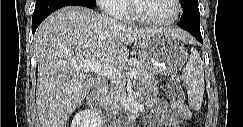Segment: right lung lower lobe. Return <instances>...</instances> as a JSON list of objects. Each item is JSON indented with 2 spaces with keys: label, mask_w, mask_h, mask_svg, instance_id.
I'll return each mask as SVG.
<instances>
[{
  "label": "right lung lower lobe",
  "mask_w": 243,
  "mask_h": 127,
  "mask_svg": "<svg viewBox=\"0 0 243 127\" xmlns=\"http://www.w3.org/2000/svg\"><path fill=\"white\" fill-rule=\"evenodd\" d=\"M65 6L94 7L88 0H37L32 16V33H35L37 27L48 15Z\"/></svg>",
  "instance_id": "1"
}]
</instances>
